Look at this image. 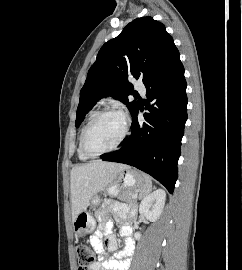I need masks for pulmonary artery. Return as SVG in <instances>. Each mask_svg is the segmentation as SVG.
<instances>
[{
    "label": "pulmonary artery",
    "instance_id": "obj_1",
    "mask_svg": "<svg viewBox=\"0 0 242 270\" xmlns=\"http://www.w3.org/2000/svg\"><path fill=\"white\" fill-rule=\"evenodd\" d=\"M135 88L138 92H140L141 94H145V91H146V88H145V85L141 82V81H138L136 84H135Z\"/></svg>",
    "mask_w": 242,
    "mask_h": 270
}]
</instances>
